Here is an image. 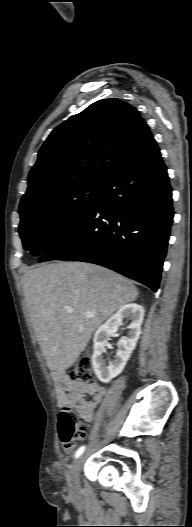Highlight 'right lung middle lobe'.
<instances>
[{
	"mask_svg": "<svg viewBox=\"0 0 192 527\" xmlns=\"http://www.w3.org/2000/svg\"><path fill=\"white\" fill-rule=\"evenodd\" d=\"M104 186L85 182L20 204L19 233L24 248L32 255L46 253L85 218Z\"/></svg>",
	"mask_w": 192,
	"mask_h": 527,
	"instance_id": "dd1d6c3e",
	"label": "right lung middle lobe"
}]
</instances>
